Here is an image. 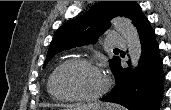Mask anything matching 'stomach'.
Masks as SVG:
<instances>
[{"mask_svg": "<svg viewBox=\"0 0 171 110\" xmlns=\"http://www.w3.org/2000/svg\"><path fill=\"white\" fill-rule=\"evenodd\" d=\"M67 110H97V109L96 108L86 109V108H83V107H74V108H70V109H67Z\"/></svg>", "mask_w": 171, "mask_h": 110, "instance_id": "0dacf381", "label": "stomach"}]
</instances>
